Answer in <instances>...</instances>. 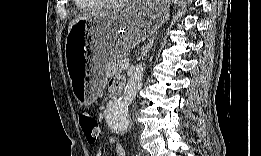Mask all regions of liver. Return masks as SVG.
<instances>
[{"mask_svg":"<svg viewBox=\"0 0 261 156\" xmlns=\"http://www.w3.org/2000/svg\"><path fill=\"white\" fill-rule=\"evenodd\" d=\"M116 13L114 12H101V13H94L91 15H84V16H79L76 17L75 19H73L68 26V32L71 29V27L73 25H75L76 23H78L79 21L82 20H89V19H95V18H102V17H113Z\"/></svg>","mask_w":261,"mask_h":156,"instance_id":"1","label":"liver"}]
</instances>
